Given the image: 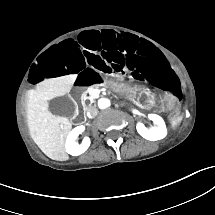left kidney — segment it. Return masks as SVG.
Masks as SVG:
<instances>
[{"label":"left kidney","instance_id":"5707ae66","mask_svg":"<svg viewBox=\"0 0 215 215\" xmlns=\"http://www.w3.org/2000/svg\"><path fill=\"white\" fill-rule=\"evenodd\" d=\"M148 118L152 120L156 126L148 129L143 123H137V132L143 138L150 141H157L165 138L167 135V128L163 118L157 114H148Z\"/></svg>","mask_w":215,"mask_h":215}]
</instances>
